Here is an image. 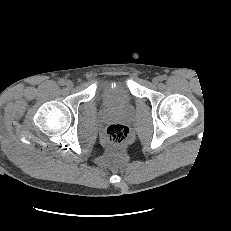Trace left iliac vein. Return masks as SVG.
Here are the masks:
<instances>
[{"label":"left iliac vein","instance_id":"obj_1","mask_svg":"<svg viewBox=\"0 0 231 231\" xmlns=\"http://www.w3.org/2000/svg\"><path fill=\"white\" fill-rule=\"evenodd\" d=\"M152 82L154 84H158L160 82V78L159 77H155V78H153Z\"/></svg>","mask_w":231,"mask_h":231}]
</instances>
